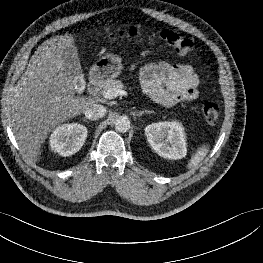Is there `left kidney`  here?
Segmentation results:
<instances>
[{
    "label": "left kidney",
    "instance_id": "5707ae66",
    "mask_svg": "<svg viewBox=\"0 0 263 263\" xmlns=\"http://www.w3.org/2000/svg\"><path fill=\"white\" fill-rule=\"evenodd\" d=\"M145 135L151 148L166 159H181L186 156V138L181 123L158 122L145 128Z\"/></svg>",
    "mask_w": 263,
    "mask_h": 263
}]
</instances>
